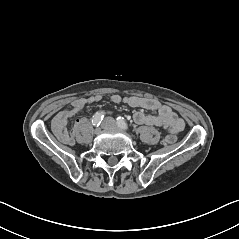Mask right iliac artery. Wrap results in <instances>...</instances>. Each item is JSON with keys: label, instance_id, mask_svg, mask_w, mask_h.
<instances>
[{"label": "right iliac artery", "instance_id": "obj_1", "mask_svg": "<svg viewBox=\"0 0 239 239\" xmlns=\"http://www.w3.org/2000/svg\"><path fill=\"white\" fill-rule=\"evenodd\" d=\"M103 118H104V112L102 111L96 112L92 118V124L98 127L101 124V121L103 120Z\"/></svg>", "mask_w": 239, "mask_h": 239}]
</instances>
